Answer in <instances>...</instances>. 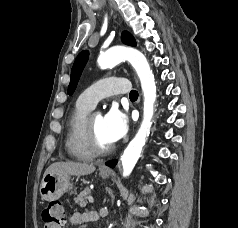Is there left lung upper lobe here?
<instances>
[{"label":"left lung upper lobe","instance_id":"1","mask_svg":"<svg viewBox=\"0 0 238 228\" xmlns=\"http://www.w3.org/2000/svg\"><path fill=\"white\" fill-rule=\"evenodd\" d=\"M121 39H122L123 43H125L127 45H130V46L136 45L135 39L127 31H124L122 33ZM88 57H89V52L87 50L82 51L78 54V56L74 62V65L72 67V70H71V80H70V84L68 86V94L69 95H72L74 90L76 89V86H77V83L81 76V73L84 69V66L86 65V63L88 61Z\"/></svg>","mask_w":238,"mask_h":228}]
</instances>
